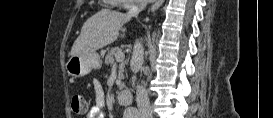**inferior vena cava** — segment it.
<instances>
[{
  "instance_id": "obj_1",
  "label": "inferior vena cava",
  "mask_w": 273,
  "mask_h": 118,
  "mask_svg": "<svg viewBox=\"0 0 273 118\" xmlns=\"http://www.w3.org/2000/svg\"><path fill=\"white\" fill-rule=\"evenodd\" d=\"M144 7L143 3H139L137 7L131 8L128 11V16H137L138 13ZM143 54L144 48L142 44L137 40L134 44L133 55L131 58V64L137 69H140L143 64ZM136 102L142 118H152V112L150 107V102L148 98V93L143 86L137 87L136 92Z\"/></svg>"
}]
</instances>
